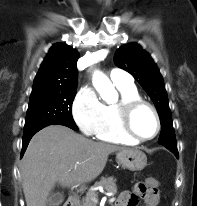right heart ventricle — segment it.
Returning a JSON list of instances; mask_svg holds the SVG:
<instances>
[{
  "label": "right heart ventricle",
  "instance_id": "right-heart-ventricle-1",
  "mask_svg": "<svg viewBox=\"0 0 197 206\" xmlns=\"http://www.w3.org/2000/svg\"><path fill=\"white\" fill-rule=\"evenodd\" d=\"M119 89L122 99L140 98L135 85H121L116 84ZM97 139L116 143V144H135L136 141L127 137L120 129L115 105L105 104L103 105V112L101 120L95 131Z\"/></svg>",
  "mask_w": 197,
  "mask_h": 206
}]
</instances>
